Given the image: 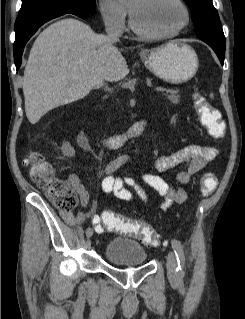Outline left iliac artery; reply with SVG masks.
<instances>
[{"label":"left iliac artery","instance_id":"obj_1","mask_svg":"<svg viewBox=\"0 0 245 319\" xmlns=\"http://www.w3.org/2000/svg\"><path fill=\"white\" fill-rule=\"evenodd\" d=\"M171 243H172V248L174 250V253L177 258V263H178V267L176 269L177 276L179 279H182L184 277V266H185L184 250L181 243L178 240L173 239Z\"/></svg>","mask_w":245,"mask_h":319}]
</instances>
